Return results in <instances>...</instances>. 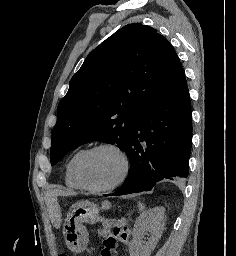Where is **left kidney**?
<instances>
[{"instance_id": "1", "label": "left kidney", "mask_w": 236, "mask_h": 256, "mask_svg": "<svg viewBox=\"0 0 236 256\" xmlns=\"http://www.w3.org/2000/svg\"><path fill=\"white\" fill-rule=\"evenodd\" d=\"M164 214V208H153L141 214L134 226L133 240L129 244L130 256H150L155 250L164 230ZM147 232H150V238L148 242H143Z\"/></svg>"}]
</instances>
